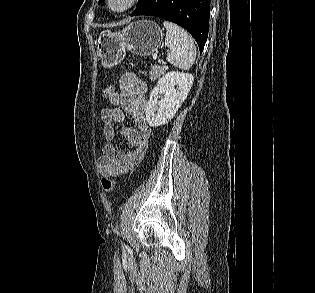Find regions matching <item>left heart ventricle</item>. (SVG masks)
<instances>
[{"instance_id":"obj_1","label":"left heart ventricle","mask_w":315,"mask_h":293,"mask_svg":"<svg viewBox=\"0 0 315 293\" xmlns=\"http://www.w3.org/2000/svg\"><path fill=\"white\" fill-rule=\"evenodd\" d=\"M125 3V0H113L111 6L114 9H118L120 7H122Z\"/></svg>"}]
</instances>
